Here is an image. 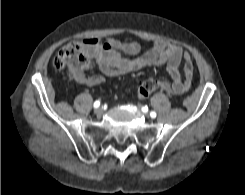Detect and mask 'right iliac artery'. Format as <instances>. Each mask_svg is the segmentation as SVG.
Returning <instances> with one entry per match:
<instances>
[{"instance_id":"right-iliac-artery-1","label":"right iliac artery","mask_w":245,"mask_h":195,"mask_svg":"<svg viewBox=\"0 0 245 195\" xmlns=\"http://www.w3.org/2000/svg\"><path fill=\"white\" fill-rule=\"evenodd\" d=\"M93 106L94 108H98L100 106V101L99 100L95 101Z\"/></svg>"}]
</instances>
